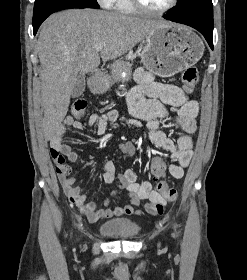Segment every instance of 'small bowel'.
<instances>
[{"instance_id": "small-bowel-1", "label": "small bowel", "mask_w": 247, "mask_h": 280, "mask_svg": "<svg viewBox=\"0 0 247 280\" xmlns=\"http://www.w3.org/2000/svg\"><path fill=\"white\" fill-rule=\"evenodd\" d=\"M135 80L137 85L126 96L131 118L122 117L115 110L92 114L88 120H75L71 116H67L51 136V153L62 155L65 160L71 163L79 159L78 153L63 140L69 127L83 130L96 126L97 134L103 135L110 123L124 122L131 126L140 127L145 122L150 131L149 141L170 152L169 173L174 178H181L193 155L192 135L197 129L195 119L199 111L198 102L190 99L176 85L157 82L151 73L142 68L135 72ZM167 106L176 112V124L183 131L176 142L157 130L160 120L167 116ZM122 176L131 181V186L127 190V203L111 208L110 198L105 199L102 202V207H99L96 202L88 201L86 195L81 193L76 178L69 176V174H59L60 183L66 196L90 221L120 216H140L142 211L136 210L135 207L144 200H148L145 205L147 213L161 214L163 212L167 201L158 191L153 189L149 181L139 182L133 170H127ZM115 178L116 167L114 163L111 161L104 163V181L112 183ZM112 195L114 196L115 192Z\"/></svg>"}]
</instances>
